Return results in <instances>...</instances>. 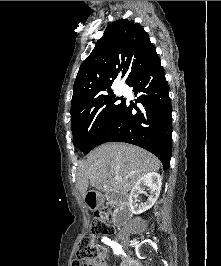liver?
Returning a JSON list of instances; mask_svg holds the SVG:
<instances>
[{"mask_svg": "<svg viewBox=\"0 0 221 266\" xmlns=\"http://www.w3.org/2000/svg\"><path fill=\"white\" fill-rule=\"evenodd\" d=\"M160 161L148 151L126 143H107L95 148L81 164L77 187L84 197L88 186L104 190L129 192L146 173L158 171ZM122 180L116 181L113 176Z\"/></svg>", "mask_w": 221, "mask_h": 266, "instance_id": "1", "label": "liver"}]
</instances>
